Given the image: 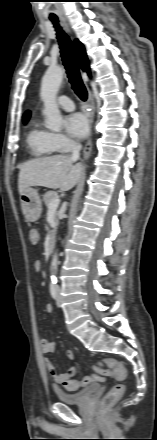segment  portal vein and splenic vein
Here are the masks:
<instances>
[{"instance_id": "obj_1", "label": "portal vein and splenic vein", "mask_w": 157, "mask_h": 440, "mask_svg": "<svg viewBox=\"0 0 157 440\" xmlns=\"http://www.w3.org/2000/svg\"><path fill=\"white\" fill-rule=\"evenodd\" d=\"M59 204H60V199H59V198L54 199V200L49 204L48 210H49V211H56L57 208H58V206H59Z\"/></svg>"}]
</instances>
